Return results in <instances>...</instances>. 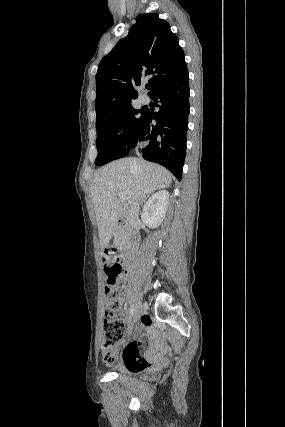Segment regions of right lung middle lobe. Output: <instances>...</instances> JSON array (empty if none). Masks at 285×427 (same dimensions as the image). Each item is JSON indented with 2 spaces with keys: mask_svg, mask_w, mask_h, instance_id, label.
Returning <instances> with one entry per match:
<instances>
[{
  "mask_svg": "<svg viewBox=\"0 0 285 427\" xmlns=\"http://www.w3.org/2000/svg\"><path fill=\"white\" fill-rule=\"evenodd\" d=\"M145 116V112L131 105L96 124L98 155L95 164L104 165L128 155L130 148L137 145Z\"/></svg>",
  "mask_w": 285,
  "mask_h": 427,
  "instance_id": "1",
  "label": "right lung middle lobe"
}]
</instances>
